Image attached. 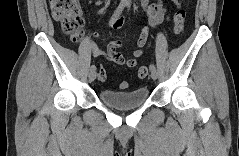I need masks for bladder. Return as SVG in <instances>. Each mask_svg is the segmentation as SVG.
I'll use <instances>...</instances> for the list:
<instances>
[{
	"instance_id": "bladder-1",
	"label": "bladder",
	"mask_w": 239,
	"mask_h": 156,
	"mask_svg": "<svg viewBox=\"0 0 239 156\" xmlns=\"http://www.w3.org/2000/svg\"><path fill=\"white\" fill-rule=\"evenodd\" d=\"M149 98V90L140 87L129 92H120L112 89H102L99 92V99L108 107L125 111L132 110L143 105Z\"/></svg>"
}]
</instances>
